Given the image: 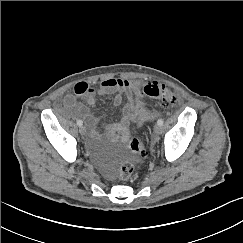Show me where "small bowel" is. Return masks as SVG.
<instances>
[{"label":"small bowel","instance_id":"1","mask_svg":"<svg viewBox=\"0 0 243 243\" xmlns=\"http://www.w3.org/2000/svg\"><path fill=\"white\" fill-rule=\"evenodd\" d=\"M97 95H113L115 106L121 105L124 96L127 97L128 102L123 108L119 122L101 125L85 105L76 104L77 97H81L88 105H93ZM59 107L64 110L75 107L76 113L87 119L92 125L93 132L104 131L111 140L119 139L121 141L128 140L130 125H141L157 116V111L147 106L141 92L140 82L125 78H106L100 83L99 87L84 81L78 82L74 86V93L63 97Z\"/></svg>","mask_w":243,"mask_h":243}]
</instances>
